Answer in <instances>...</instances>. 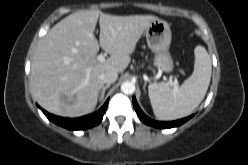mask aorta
<instances>
[{"instance_id": "762f6f07", "label": "aorta", "mask_w": 248, "mask_h": 165, "mask_svg": "<svg viewBox=\"0 0 248 165\" xmlns=\"http://www.w3.org/2000/svg\"><path fill=\"white\" fill-rule=\"evenodd\" d=\"M121 91L124 94H133L135 92V84L130 81H125L121 84Z\"/></svg>"}]
</instances>
